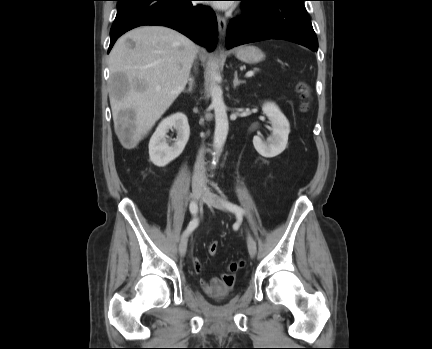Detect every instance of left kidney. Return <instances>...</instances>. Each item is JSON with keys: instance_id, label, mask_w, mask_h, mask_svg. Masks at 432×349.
Listing matches in <instances>:
<instances>
[{"instance_id": "left-kidney-1", "label": "left kidney", "mask_w": 432, "mask_h": 349, "mask_svg": "<svg viewBox=\"0 0 432 349\" xmlns=\"http://www.w3.org/2000/svg\"><path fill=\"white\" fill-rule=\"evenodd\" d=\"M262 111L272 125V135L266 141H263L259 136H254L253 145L261 156L273 158L285 150L290 133V124L279 107L273 102L264 103Z\"/></svg>"}]
</instances>
